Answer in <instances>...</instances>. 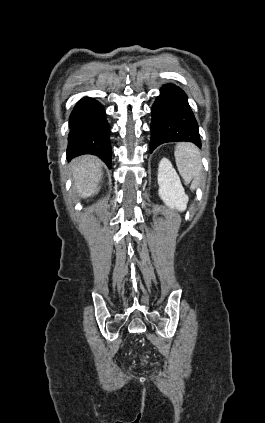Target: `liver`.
I'll return each mask as SVG.
<instances>
[{
	"instance_id": "liver-1",
	"label": "liver",
	"mask_w": 265,
	"mask_h": 423,
	"mask_svg": "<svg viewBox=\"0 0 265 423\" xmlns=\"http://www.w3.org/2000/svg\"><path fill=\"white\" fill-rule=\"evenodd\" d=\"M74 188L83 198L96 194L102 178V161L93 155L76 158L71 163Z\"/></svg>"
}]
</instances>
